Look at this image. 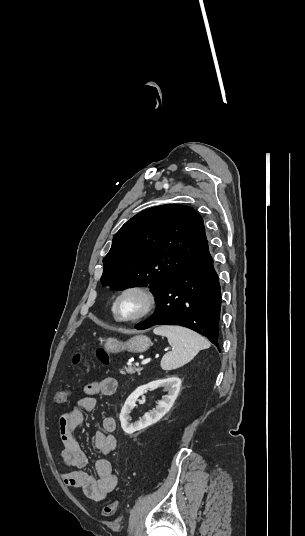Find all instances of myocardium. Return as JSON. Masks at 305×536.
<instances>
[{
    "mask_svg": "<svg viewBox=\"0 0 305 536\" xmlns=\"http://www.w3.org/2000/svg\"><path fill=\"white\" fill-rule=\"evenodd\" d=\"M130 291H139L144 294L146 298V308L141 314L135 317L123 318L119 315V312H118V302L125 293L130 292ZM157 304H158L157 296L154 290L150 286L146 284H142V283H134V284H130V285L123 287L117 293L111 305V312H112V316L115 322H117L118 324L134 325L149 318L155 311Z\"/></svg>",
    "mask_w": 305,
    "mask_h": 536,
    "instance_id": "f54148a6",
    "label": "myocardium"
}]
</instances>
